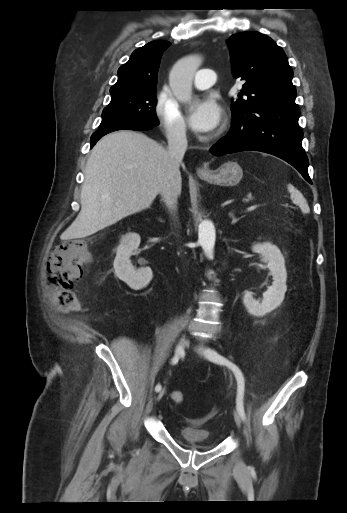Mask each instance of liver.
Returning a JSON list of instances; mask_svg holds the SVG:
<instances>
[{"label": "liver", "mask_w": 347, "mask_h": 513, "mask_svg": "<svg viewBox=\"0 0 347 513\" xmlns=\"http://www.w3.org/2000/svg\"><path fill=\"white\" fill-rule=\"evenodd\" d=\"M169 182L181 192V174L169 168L168 153L147 135L120 130L101 138L85 167L81 210L62 239L84 238L149 208Z\"/></svg>", "instance_id": "6515ba94"}]
</instances>
